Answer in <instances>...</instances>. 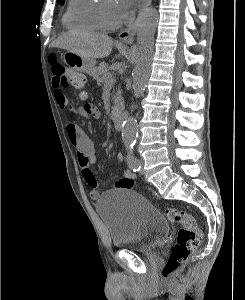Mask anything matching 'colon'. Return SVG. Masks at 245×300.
Listing matches in <instances>:
<instances>
[{
  "label": "colon",
  "instance_id": "5ec220e1",
  "mask_svg": "<svg viewBox=\"0 0 245 300\" xmlns=\"http://www.w3.org/2000/svg\"><path fill=\"white\" fill-rule=\"evenodd\" d=\"M51 70L63 87H72L79 92L81 98L86 97L84 76L59 63L55 57L50 59ZM165 215L169 221L179 223L181 228L162 269L163 277H172L202 240V231L196 219L188 212L177 208H167Z\"/></svg>",
  "mask_w": 245,
  "mask_h": 300
}]
</instances>
